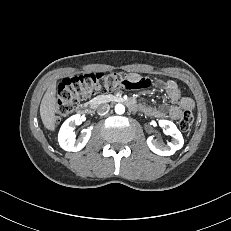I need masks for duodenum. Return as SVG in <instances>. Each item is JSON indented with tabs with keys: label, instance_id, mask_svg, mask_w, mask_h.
Instances as JSON below:
<instances>
[{
	"label": "duodenum",
	"instance_id": "1",
	"mask_svg": "<svg viewBox=\"0 0 231 231\" xmlns=\"http://www.w3.org/2000/svg\"><path fill=\"white\" fill-rule=\"evenodd\" d=\"M113 99L118 101V102L126 103L133 110L138 109V105L132 99L124 98L122 96H115V97H113ZM92 111H93V105L92 104H82L77 108V113L80 115L88 114V113H91Z\"/></svg>",
	"mask_w": 231,
	"mask_h": 231
}]
</instances>
